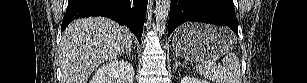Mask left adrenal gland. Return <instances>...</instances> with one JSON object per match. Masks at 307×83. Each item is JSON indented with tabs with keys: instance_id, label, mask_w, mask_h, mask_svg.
Returning <instances> with one entry per match:
<instances>
[{
	"instance_id": "obj_1",
	"label": "left adrenal gland",
	"mask_w": 307,
	"mask_h": 83,
	"mask_svg": "<svg viewBox=\"0 0 307 83\" xmlns=\"http://www.w3.org/2000/svg\"><path fill=\"white\" fill-rule=\"evenodd\" d=\"M174 61H175V68H178V66H181V67L184 68V67L186 66V65L180 63V62L177 60V58H175V57H174Z\"/></svg>"
}]
</instances>
